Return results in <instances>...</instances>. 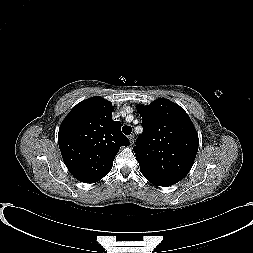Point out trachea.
Masks as SVG:
<instances>
[{"label": "trachea", "instance_id": "3493384b", "mask_svg": "<svg viewBox=\"0 0 253 253\" xmlns=\"http://www.w3.org/2000/svg\"><path fill=\"white\" fill-rule=\"evenodd\" d=\"M122 131L125 135H130L132 132V128L128 125L122 127Z\"/></svg>", "mask_w": 253, "mask_h": 253}]
</instances>
